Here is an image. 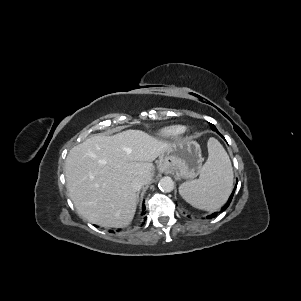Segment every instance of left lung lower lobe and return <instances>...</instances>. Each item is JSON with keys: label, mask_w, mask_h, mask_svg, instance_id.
<instances>
[{"label": "left lung lower lobe", "mask_w": 301, "mask_h": 301, "mask_svg": "<svg viewBox=\"0 0 301 301\" xmlns=\"http://www.w3.org/2000/svg\"><path fill=\"white\" fill-rule=\"evenodd\" d=\"M214 131H216L217 133H219L218 130H217L216 128L214 129ZM219 134H220V133H219ZM220 135H221V134H220ZM221 136H222V135H221ZM236 186H237V184H236ZM236 186L234 187V190H233V192L231 193V195H230V197H229L227 203L221 208V212L225 211V210L227 209V207L230 205V202H231L232 197H233V195H234ZM216 216H217V212H214V213H212L211 215H208L207 218H208V219H211V218H214V217H216Z\"/></svg>", "instance_id": "left-lung-lower-lobe-1"}]
</instances>
